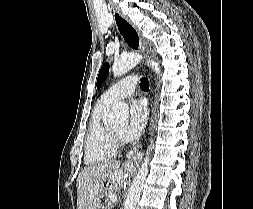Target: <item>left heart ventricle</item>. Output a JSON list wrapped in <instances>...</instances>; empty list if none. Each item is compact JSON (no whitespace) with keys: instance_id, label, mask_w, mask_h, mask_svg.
Here are the masks:
<instances>
[{"instance_id":"b2bd125f","label":"left heart ventricle","mask_w":253,"mask_h":209,"mask_svg":"<svg viewBox=\"0 0 253 209\" xmlns=\"http://www.w3.org/2000/svg\"><path fill=\"white\" fill-rule=\"evenodd\" d=\"M124 128H125V124H121V125H117V126L113 127L112 129H113L116 133L122 135V133H123V131H124Z\"/></svg>"}]
</instances>
